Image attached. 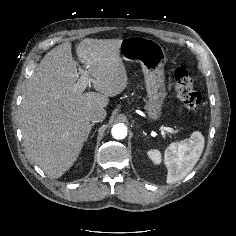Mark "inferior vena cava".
<instances>
[{
  "label": "inferior vena cava",
  "instance_id": "1",
  "mask_svg": "<svg viewBox=\"0 0 236 236\" xmlns=\"http://www.w3.org/2000/svg\"><path fill=\"white\" fill-rule=\"evenodd\" d=\"M88 120L92 122H100L105 119L106 111L104 108H94L87 115Z\"/></svg>",
  "mask_w": 236,
  "mask_h": 236
}]
</instances>
